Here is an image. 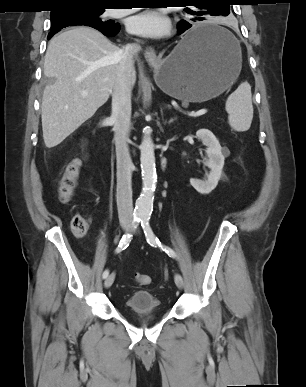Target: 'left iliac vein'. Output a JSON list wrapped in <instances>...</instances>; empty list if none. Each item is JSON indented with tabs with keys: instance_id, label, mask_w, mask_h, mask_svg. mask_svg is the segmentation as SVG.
I'll return each mask as SVG.
<instances>
[{
	"instance_id": "left-iliac-vein-1",
	"label": "left iliac vein",
	"mask_w": 306,
	"mask_h": 387,
	"mask_svg": "<svg viewBox=\"0 0 306 387\" xmlns=\"http://www.w3.org/2000/svg\"><path fill=\"white\" fill-rule=\"evenodd\" d=\"M174 280H175L176 286H177L179 289H182V288H183V285H184V281H183L182 276H181L180 274H175Z\"/></svg>"
}]
</instances>
